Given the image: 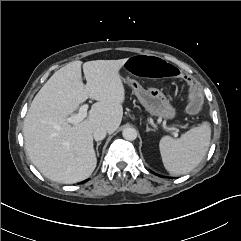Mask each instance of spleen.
Returning <instances> with one entry per match:
<instances>
[{
	"label": "spleen",
	"instance_id": "3e777b00",
	"mask_svg": "<svg viewBox=\"0 0 241 241\" xmlns=\"http://www.w3.org/2000/svg\"><path fill=\"white\" fill-rule=\"evenodd\" d=\"M211 139L208 122L182 134L179 139L164 136L159 142L162 161L166 170L173 175L192 171L206 155Z\"/></svg>",
	"mask_w": 241,
	"mask_h": 241
}]
</instances>
